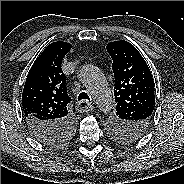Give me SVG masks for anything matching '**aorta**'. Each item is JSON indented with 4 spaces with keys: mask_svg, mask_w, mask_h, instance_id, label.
I'll return each mask as SVG.
<instances>
[{
    "mask_svg": "<svg viewBox=\"0 0 184 184\" xmlns=\"http://www.w3.org/2000/svg\"><path fill=\"white\" fill-rule=\"evenodd\" d=\"M79 78L97 107L102 112L109 111L113 106V97L102 71L94 65L86 64L80 69Z\"/></svg>",
    "mask_w": 184,
    "mask_h": 184,
    "instance_id": "aorta-1",
    "label": "aorta"
}]
</instances>
